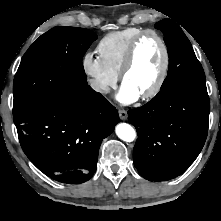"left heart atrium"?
Wrapping results in <instances>:
<instances>
[{
  "label": "left heart atrium",
  "mask_w": 221,
  "mask_h": 221,
  "mask_svg": "<svg viewBox=\"0 0 221 221\" xmlns=\"http://www.w3.org/2000/svg\"><path fill=\"white\" fill-rule=\"evenodd\" d=\"M139 94L128 87L127 85L123 84L119 90V93L117 95V99L124 104L132 103L136 101L139 98Z\"/></svg>",
  "instance_id": "left-heart-atrium-1"
}]
</instances>
